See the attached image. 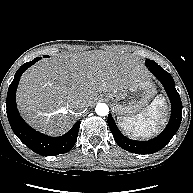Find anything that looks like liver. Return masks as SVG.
<instances>
[{"mask_svg":"<svg viewBox=\"0 0 193 193\" xmlns=\"http://www.w3.org/2000/svg\"><path fill=\"white\" fill-rule=\"evenodd\" d=\"M124 55L106 51L75 53L70 57L43 61L21 79L18 103L25 118L50 133L64 131L71 123L74 100L88 107L102 96L119 88L129 77L142 75L131 70Z\"/></svg>","mask_w":193,"mask_h":193,"instance_id":"1","label":"liver"}]
</instances>
